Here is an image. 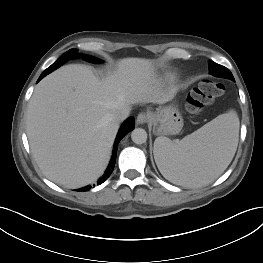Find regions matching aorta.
<instances>
[{
  "instance_id": "aorta-1",
  "label": "aorta",
  "mask_w": 263,
  "mask_h": 263,
  "mask_svg": "<svg viewBox=\"0 0 263 263\" xmlns=\"http://www.w3.org/2000/svg\"><path fill=\"white\" fill-rule=\"evenodd\" d=\"M131 139L135 144H143L147 141V132L142 128H135L131 133Z\"/></svg>"
}]
</instances>
